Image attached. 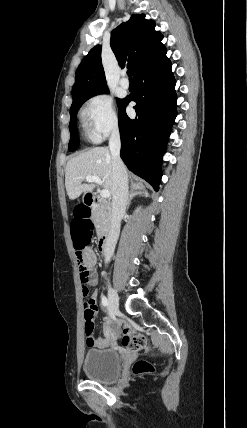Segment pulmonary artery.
I'll list each match as a JSON object with an SVG mask.
<instances>
[{
	"instance_id": "1",
	"label": "pulmonary artery",
	"mask_w": 247,
	"mask_h": 428,
	"mask_svg": "<svg viewBox=\"0 0 247 428\" xmlns=\"http://www.w3.org/2000/svg\"><path fill=\"white\" fill-rule=\"evenodd\" d=\"M120 85L122 88L128 89L129 88V81L125 77H123L120 81Z\"/></svg>"
}]
</instances>
